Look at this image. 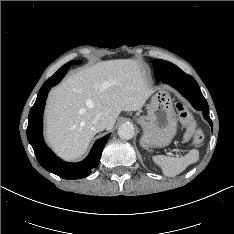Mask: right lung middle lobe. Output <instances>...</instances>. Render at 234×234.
Returning <instances> with one entry per match:
<instances>
[{
    "mask_svg": "<svg viewBox=\"0 0 234 234\" xmlns=\"http://www.w3.org/2000/svg\"><path fill=\"white\" fill-rule=\"evenodd\" d=\"M81 62H82L81 60H73V61H70L68 64L69 65L80 64Z\"/></svg>",
    "mask_w": 234,
    "mask_h": 234,
    "instance_id": "right-lung-middle-lobe-1",
    "label": "right lung middle lobe"
}]
</instances>
